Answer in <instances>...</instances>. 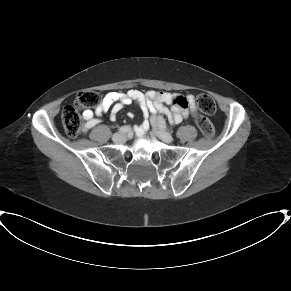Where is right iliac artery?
<instances>
[{
	"label": "right iliac artery",
	"instance_id": "right-iliac-artery-1",
	"mask_svg": "<svg viewBox=\"0 0 291 291\" xmlns=\"http://www.w3.org/2000/svg\"><path fill=\"white\" fill-rule=\"evenodd\" d=\"M131 130L130 126H122L120 129H119V132L120 133H127Z\"/></svg>",
	"mask_w": 291,
	"mask_h": 291
}]
</instances>
